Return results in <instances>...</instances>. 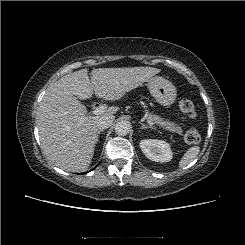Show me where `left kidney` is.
<instances>
[{
    "mask_svg": "<svg viewBox=\"0 0 245 245\" xmlns=\"http://www.w3.org/2000/svg\"><path fill=\"white\" fill-rule=\"evenodd\" d=\"M140 148L144 155L155 162H169L172 159L170 145L163 140L144 139L140 141Z\"/></svg>",
    "mask_w": 245,
    "mask_h": 245,
    "instance_id": "left-kidney-1",
    "label": "left kidney"
}]
</instances>
